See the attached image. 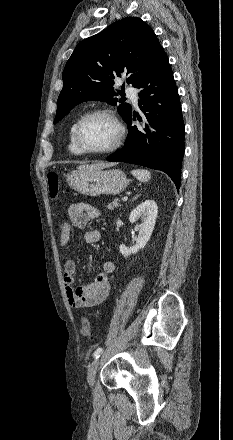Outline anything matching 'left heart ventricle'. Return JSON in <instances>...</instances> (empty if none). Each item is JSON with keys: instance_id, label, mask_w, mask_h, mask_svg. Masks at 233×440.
I'll use <instances>...</instances> for the list:
<instances>
[{"instance_id": "left-heart-ventricle-1", "label": "left heart ventricle", "mask_w": 233, "mask_h": 440, "mask_svg": "<svg viewBox=\"0 0 233 440\" xmlns=\"http://www.w3.org/2000/svg\"><path fill=\"white\" fill-rule=\"evenodd\" d=\"M116 135V127L108 117L94 116L82 126L80 142L86 149L102 150L114 142Z\"/></svg>"}]
</instances>
